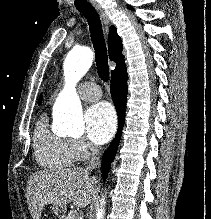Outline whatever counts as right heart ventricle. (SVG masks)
<instances>
[{
    "label": "right heart ventricle",
    "mask_w": 211,
    "mask_h": 219,
    "mask_svg": "<svg viewBox=\"0 0 211 219\" xmlns=\"http://www.w3.org/2000/svg\"><path fill=\"white\" fill-rule=\"evenodd\" d=\"M33 147L36 160L42 167H70L76 161L67 139L49 130L46 115H41L36 122Z\"/></svg>",
    "instance_id": "1"
}]
</instances>
